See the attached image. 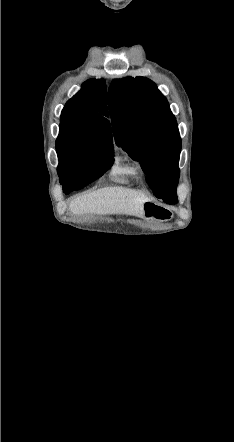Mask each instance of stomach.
<instances>
[{
	"label": "stomach",
	"mask_w": 234,
	"mask_h": 442,
	"mask_svg": "<svg viewBox=\"0 0 234 442\" xmlns=\"http://www.w3.org/2000/svg\"><path fill=\"white\" fill-rule=\"evenodd\" d=\"M143 215L147 219H155L160 221L169 220L171 212L158 204L147 201L143 204Z\"/></svg>",
	"instance_id": "0dacf381"
}]
</instances>
